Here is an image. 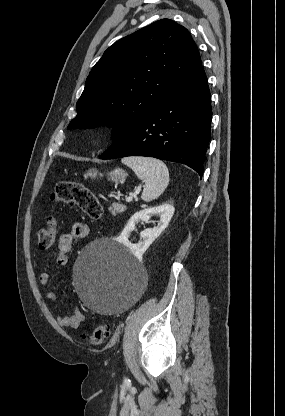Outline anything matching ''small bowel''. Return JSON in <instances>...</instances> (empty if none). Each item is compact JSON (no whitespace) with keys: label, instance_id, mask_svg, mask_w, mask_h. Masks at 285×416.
Masks as SVG:
<instances>
[{"label":"small bowel","instance_id":"obj_1","mask_svg":"<svg viewBox=\"0 0 285 416\" xmlns=\"http://www.w3.org/2000/svg\"><path fill=\"white\" fill-rule=\"evenodd\" d=\"M89 226L84 222H75L69 232L63 233L57 243V263L61 266L67 263V253L72 249L73 243L76 240H81L89 235ZM39 282L42 286H48L50 282V275L48 272H42L39 276ZM46 298L50 303L57 302V294L48 290ZM85 315L77 308H75L70 314L60 315L57 318V322L62 327L77 328L85 321Z\"/></svg>","mask_w":285,"mask_h":416}]
</instances>
